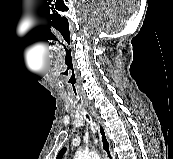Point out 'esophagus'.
Segmentation results:
<instances>
[{
    "mask_svg": "<svg viewBox=\"0 0 173 159\" xmlns=\"http://www.w3.org/2000/svg\"><path fill=\"white\" fill-rule=\"evenodd\" d=\"M89 110L96 121L97 128H98V134H99V140L101 143V148L106 155V159H115V156L112 153L110 140L108 138L106 129L103 125V122H102L100 116L93 108H89Z\"/></svg>",
    "mask_w": 173,
    "mask_h": 159,
    "instance_id": "34e87169",
    "label": "esophagus"
}]
</instances>
